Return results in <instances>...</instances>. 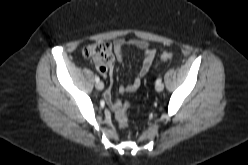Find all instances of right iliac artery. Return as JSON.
Masks as SVG:
<instances>
[{
    "mask_svg": "<svg viewBox=\"0 0 248 165\" xmlns=\"http://www.w3.org/2000/svg\"><path fill=\"white\" fill-rule=\"evenodd\" d=\"M95 81L96 82H99L100 81V78L98 76L95 77Z\"/></svg>",
    "mask_w": 248,
    "mask_h": 165,
    "instance_id": "1",
    "label": "right iliac artery"
}]
</instances>
